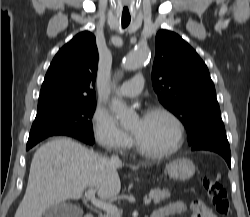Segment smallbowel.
Here are the masks:
<instances>
[{
	"instance_id": "small-bowel-1",
	"label": "small bowel",
	"mask_w": 250,
	"mask_h": 217,
	"mask_svg": "<svg viewBox=\"0 0 250 217\" xmlns=\"http://www.w3.org/2000/svg\"><path fill=\"white\" fill-rule=\"evenodd\" d=\"M189 209L192 211V217H217L201 200L194 201L189 208L183 201H174L157 211L159 212L160 217H169L183 214Z\"/></svg>"
}]
</instances>
